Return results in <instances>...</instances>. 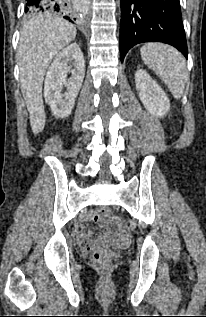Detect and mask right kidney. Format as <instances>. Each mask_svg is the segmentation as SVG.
I'll use <instances>...</instances> for the list:
<instances>
[{
  "label": "right kidney",
  "mask_w": 206,
  "mask_h": 317,
  "mask_svg": "<svg viewBox=\"0 0 206 317\" xmlns=\"http://www.w3.org/2000/svg\"><path fill=\"white\" fill-rule=\"evenodd\" d=\"M71 63L74 69L71 70L70 80H67L68 64ZM84 75V56L77 43L68 45L55 56L46 74L44 97L56 116L66 118L71 114ZM63 87L66 88L65 93H61Z\"/></svg>",
  "instance_id": "right-kidney-1"
}]
</instances>
